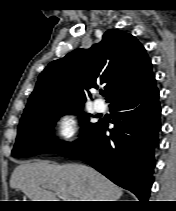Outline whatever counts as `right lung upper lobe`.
<instances>
[{
    "label": "right lung upper lobe",
    "mask_w": 176,
    "mask_h": 211,
    "mask_svg": "<svg viewBox=\"0 0 176 211\" xmlns=\"http://www.w3.org/2000/svg\"><path fill=\"white\" fill-rule=\"evenodd\" d=\"M144 47L131 34L108 30L90 49H76L40 74L22 118L48 109L82 106L90 88L104 84L110 106L132 98L155 80ZM21 118V119H22Z\"/></svg>",
    "instance_id": "obj_1"
}]
</instances>
